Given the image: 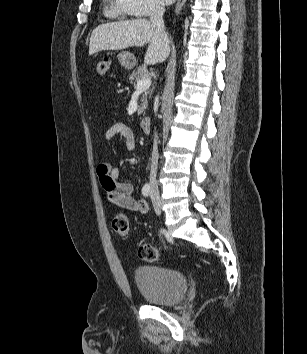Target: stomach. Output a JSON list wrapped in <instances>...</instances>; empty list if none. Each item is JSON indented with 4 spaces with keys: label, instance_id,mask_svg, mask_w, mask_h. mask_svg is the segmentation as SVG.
<instances>
[{
    "label": "stomach",
    "instance_id": "1",
    "mask_svg": "<svg viewBox=\"0 0 307 354\" xmlns=\"http://www.w3.org/2000/svg\"><path fill=\"white\" fill-rule=\"evenodd\" d=\"M117 57L120 65L125 69L130 70L137 64L135 56L130 52H121Z\"/></svg>",
    "mask_w": 307,
    "mask_h": 354
}]
</instances>
